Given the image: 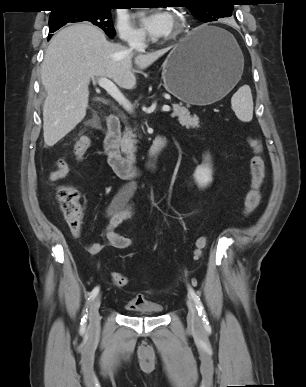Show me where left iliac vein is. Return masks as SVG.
Listing matches in <instances>:
<instances>
[{
	"mask_svg": "<svg viewBox=\"0 0 306 387\" xmlns=\"http://www.w3.org/2000/svg\"><path fill=\"white\" fill-rule=\"evenodd\" d=\"M187 307H188L187 322L189 327L192 329H195L196 331H202L201 319L198 315L196 305L191 298L187 299Z\"/></svg>",
	"mask_w": 306,
	"mask_h": 387,
	"instance_id": "left-iliac-vein-1",
	"label": "left iliac vein"
}]
</instances>
